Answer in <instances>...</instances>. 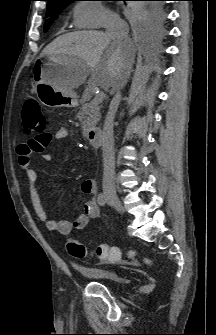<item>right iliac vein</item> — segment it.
<instances>
[{"label":"right iliac vein","instance_id":"right-iliac-vein-1","mask_svg":"<svg viewBox=\"0 0 216 335\" xmlns=\"http://www.w3.org/2000/svg\"><path fill=\"white\" fill-rule=\"evenodd\" d=\"M105 197L108 203L113 206L119 213H124V207L116 195L111 192H105Z\"/></svg>","mask_w":216,"mask_h":335}]
</instances>
